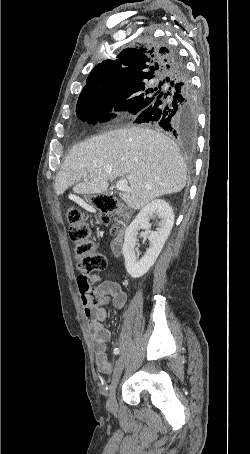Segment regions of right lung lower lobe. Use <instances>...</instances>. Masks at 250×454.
Masks as SVG:
<instances>
[{"mask_svg": "<svg viewBox=\"0 0 250 454\" xmlns=\"http://www.w3.org/2000/svg\"><path fill=\"white\" fill-rule=\"evenodd\" d=\"M167 50L170 71L160 84L157 96L137 113L134 122L160 126L190 143L197 129L194 93L188 71L178 53L170 48Z\"/></svg>", "mask_w": 250, "mask_h": 454, "instance_id": "98d812e1", "label": "right lung lower lobe"}]
</instances>
